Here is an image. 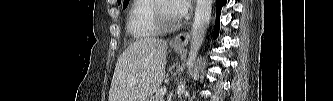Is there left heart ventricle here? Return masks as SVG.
I'll return each mask as SVG.
<instances>
[{
    "label": "left heart ventricle",
    "instance_id": "1",
    "mask_svg": "<svg viewBox=\"0 0 333 101\" xmlns=\"http://www.w3.org/2000/svg\"><path fill=\"white\" fill-rule=\"evenodd\" d=\"M163 11L164 14L169 18V19H175L176 17L170 12L169 4L168 2L163 3Z\"/></svg>",
    "mask_w": 333,
    "mask_h": 101
}]
</instances>
